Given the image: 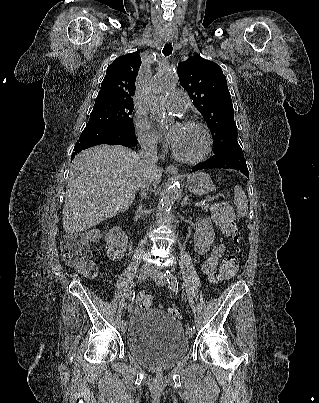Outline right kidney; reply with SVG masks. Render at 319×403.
<instances>
[{"label": "right kidney", "mask_w": 319, "mask_h": 403, "mask_svg": "<svg viewBox=\"0 0 319 403\" xmlns=\"http://www.w3.org/2000/svg\"><path fill=\"white\" fill-rule=\"evenodd\" d=\"M105 241V251L110 260L117 261L125 256L128 237L120 227H113L105 236Z\"/></svg>", "instance_id": "obj_1"}]
</instances>
